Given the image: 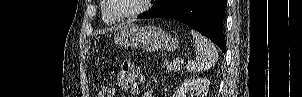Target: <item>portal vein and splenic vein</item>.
<instances>
[{"instance_id": "portal-vein-and-splenic-vein-1", "label": "portal vein and splenic vein", "mask_w": 302, "mask_h": 97, "mask_svg": "<svg viewBox=\"0 0 302 97\" xmlns=\"http://www.w3.org/2000/svg\"><path fill=\"white\" fill-rule=\"evenodd\" d=\"M180 62H181V60H180L179 57H177V58L175 59V61H174L175 64H179Z\"/></svg>"}]
</instances>
